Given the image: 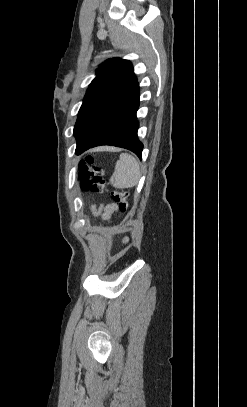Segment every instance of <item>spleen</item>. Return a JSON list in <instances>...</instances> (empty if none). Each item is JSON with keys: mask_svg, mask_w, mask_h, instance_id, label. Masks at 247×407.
I'll list each match as a JSON object with an SVG mask.
<instances>
[{"mask_svg": "<svg viewBox=\"0 0 247 407\" xmlns=\"http://www.w3.org/2000/svg\"><path fill=\"white\" fill-rule=\"evenodd\" d=\"M140 179L138 161L130 154L122 153L116 162L114 173L110 179L113 187L118 189L132 188Z\"/></svg>", "mask_w": 247, "mask_h": 407, "instance_id": "1", "label": "spleen"}]
</instances>
